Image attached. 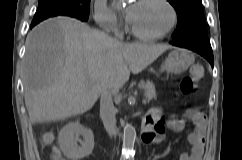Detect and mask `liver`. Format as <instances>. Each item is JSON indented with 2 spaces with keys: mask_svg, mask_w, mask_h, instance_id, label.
<instances>
[{
  "mask_svg": "<svg viewBox=\"0 0 242 160\" xmlns=\"http://www.w3.org/2000/svg\"><path fill=\"white\" fill-rule=\"evenodd\" d=\"M167 44L121 43L69 17L48 19L28 34L23 62L24 98L32 122L83 114L101 85L117 92L166 50Z\"/></svg>",
  "mask_w": 242,
  "mask_h": 160,
  "instance_id": "obj_1",
  "label": "liver"
}]
</instances>
